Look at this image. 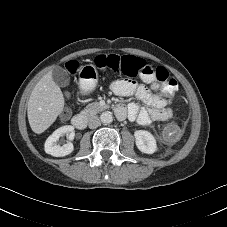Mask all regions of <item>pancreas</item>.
I'll use <instances>...</instances> for the list:
<instances>
[{
  "label": "pancreas",
  "instance_id": "obj_1",
  "mask_svg": "<svg viewBox=\"0 0 227 227\" xmlns=\"http://www.w3.org/2000/svg\"><path fill=\"white\" fill-rule=\"evenodd\" d=\"M104 108L105 106L101 105L99 102H93L85 107V109L83 110V113L87 115H94L102 111Z\"/></svg>",
  "mask_w": 227,
  "mask_h": 227
}]
</instances>
